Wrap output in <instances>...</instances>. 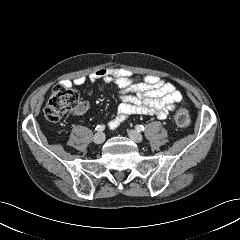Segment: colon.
Masks as SVG:
<instances>
[{
  "label": "colon",
  "mask_w": 240,
  "mask_h": 240,
  "mask_svg": "<svg viewBox=\"0 0 240 240\" xmlns=\"http://www.w3.org/2000/svg\"><path fill=\"white\" fill-rule=\"evenodd\" d=\"M81 107L78 92L58 84L50 92L49 100L44 109V115L51 122H58L61 118ZM174 120L179 127H187L191 123L189 112L184 108H178L174 113Z\"/></svg>",
  "instance_id": "obj_1"
}]
</instances>
